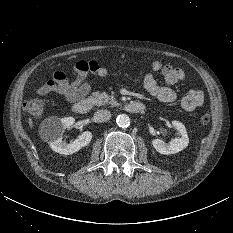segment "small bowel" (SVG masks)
<instances>
[{
	"label": "small bowel",
	"instance_id": "c3829d8e",
	"mask_svg": "<svg viewBox=\"0 0 233 233\" xmlns=\"http://www.w3.org/2000/svg\"><path fill=\"white\" fill-rule=\"evenodd\" d=\"M153 72H161L167 86H160L156 82L154 75L148 73L143 80L145 90L162 102H174L177 94L172 85L184 80V72L171 65H163L159 61L151 63ZM108 70L95 60L79 61L76 63L70 79L61 71H56L52 78L38 88L39 95H47L55 92L64 96L68 101L74 102L83 98L90 90V77H106ZM204 104V94L201 90L191 89L182 98L181 105L185 111L192 112Z\"/></svg>",
	"mask_w": 233,
	"mask_h": 233
}]
</instances>
